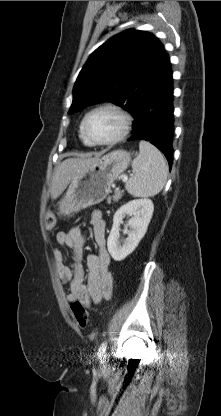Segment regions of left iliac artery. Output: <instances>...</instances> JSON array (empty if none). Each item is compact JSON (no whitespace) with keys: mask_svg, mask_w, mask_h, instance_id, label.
Returning a JSON list of instances; mask_svg holds the SVG:
<instances>
[{"mask_svg":"<svg viewBox=\"0 0 221 416\" xmlns=\"http://www.w3.org/2000/svg\"><path fill=\"white\" fill-rule=\"evenodd\" d=\"M107 348V342H103L98 350V357H102Z\"/></svg>","mask_w":221,"mask_h":416,"instance_id":"left-iliac-artery-1","label":"left iliac artery"}]
</instances>
